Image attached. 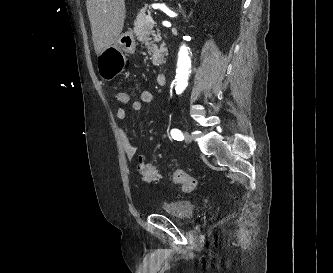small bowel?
I'll return each instance as SVG.
<instances>
[{"label":"small bowel","mask_w":333,"mask_h":273,"mask_svg":"<svg viewBox=\"0 0 333 273\" xmlns=\"http://www.w3.org/2000/svg\"><path fill=\"white\" fill-rule=\"evenodd\" d=\"M153 100V94L149 90H143L140 93V97L138 100H134L131 103V108L135 112H139L142 110L143 105L151 103ZM116 117L119 120H126L128 118V111L124 107H118L116 109ZM121 141L125 156L129 162L135 161L137 157V151L135 146L132 143V140L129 134L125 130H121L120 132Z\"/></svg>","instance_id":"1"}]
</instances>
